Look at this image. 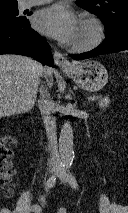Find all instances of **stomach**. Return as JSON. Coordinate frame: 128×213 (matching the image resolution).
<instances>
[{
	"instance_id": "stomach-1",
	"label": "stomach",
	"mask_w": 128,
	"mask_h": 213,
	"mask_svg": "<svg viewBox=\"0 0 128 213\" xmlns=\"http://www.w3.org/2000/svg\"><path fill=\"white\" fill-rule=\"evenodd\" d=\"M65 73L74 79L82 89L95 92L102 89L108 80L106 68L98 61L76 63L71 70Z\"/></svg>"
}]
</instances>
